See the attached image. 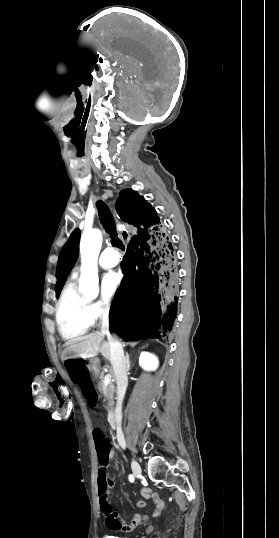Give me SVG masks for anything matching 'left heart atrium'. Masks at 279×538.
<instances>
[{
	"mask_svg": "<svg viewBox=\"0 0 279 538\" xmlns=\"http://www.w3.org/2000/svg\"><path fill=\"white\" fill-rule=\"evenodd\" d=\"M119 283H120L119 274L115 272L106 274L102 282L104 294L106 296H112L115 293L116 289L118 288Z\"/></svg>",
	"mask_w": 279,
	"mask_h": 538,
	"instance_id": "39dd6f15",
	"label": "left heart atrium"
}]
</instances>
